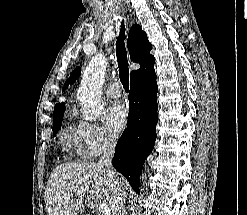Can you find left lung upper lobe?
I'll list each match as a JSON object with an SVG mask.
<instances>
[{"mask_svg":"<svg viewBox=\"0 0 247 215\" xmlns=\"http://www.w3.org/2000/svg\"><path fill=\"white\" fill-rule=\"evenodd\" d=\"M80 72H81V69L79 67H77L71 74H70V77L68 78V80L65 82L64 84V88H63V91L68 87V84H73L76 79L80 76Z\"/></svg>","mask_w":247,"mask_h":215,"instance_id":"left-lung-upper-lobe-1","label":"left lung upper lobe"}]
</instances>
